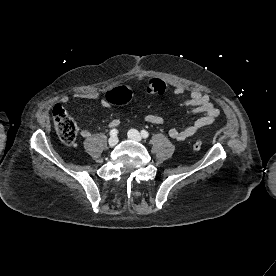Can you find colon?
<instances>
[{
	"mask_svg": "<svg viewBox=\"0 0 276 276\" xmlns=\"http://www.w3.org/2000/svg\"><path fill=\"white\" fill-rule=\"evenodd\" d=\"M151 86H153V89L162 91L166 85L160 80H152ZM132 97L133 93L130 89L122 88L111 90L108 93L107 99L110 104L119 106L131 101ZM52 119L55 131L61 141L67 145H72L77 138L78 128L75 121L61 104H56L53 107ZM201 148L202 143L200 141H195L192 144L194 151H199Z\"/></svg>",
	"mask_w": 276,
	"mask_h": 276,
	"instance_id": "obj_1",
	"label": "colon"
}]
</instances>
